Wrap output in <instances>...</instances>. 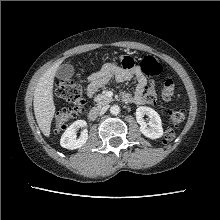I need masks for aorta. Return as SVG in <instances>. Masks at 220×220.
<instances>
[{"mask_svg":"<svg viewBox=\"0 0 220 220\" xmlns=\"http://www.w3.org/2000/svg\"><path fill=\"white\" fill-rule=\"evenodd\" d=\"M110 113L112 115H118L120 113V107L118 105H113L110 107Z\"/></svg>","mask_w":220,"mask_h":220,"instance_id":"1","label":"aorta"}]
</instances>
